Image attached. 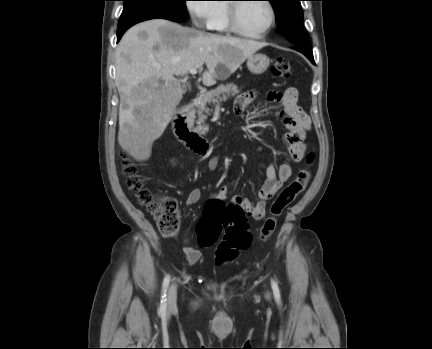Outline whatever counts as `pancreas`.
I'll list each match as a JSON object with an SVG mask.
<instances>
[{
    "mask_svg": "<svg viewBox=\"0 0 432 349\" xmlns=\"http://www.w3.org/2000/svg\"><path fill=\"white\" fill-rule=\"evenodd\" d=\"M238 93V87L233 83H229L226 85L221 84L216 89L199 94L195 100L196 112L198 114V126L196 130L201 134H206L208 132V128L202 125L212 111V109L207 107V104H218L231 96L234 97Z\"/></svg>",
    "mask_w": 432,
    "mask_h": 349,
    "instance_id": "pancreas-1",
    "label": "pancreas"
}]
</instances>
